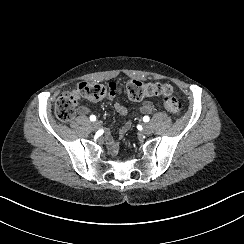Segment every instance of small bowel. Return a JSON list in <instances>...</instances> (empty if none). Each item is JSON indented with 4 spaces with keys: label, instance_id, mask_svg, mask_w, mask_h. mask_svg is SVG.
Listing matches in <instances>:
<instances>
[{
    "label": "small bowel",
    "instance_id": "c3829d8e",
    "mask_svg": "<svg viewBox=\"0 0 244 244\" xmlns=\"http://www.w3.org/2000/svg\"><path fill=\"white\" fill-rule=\"evenodd\" d=\"M111 88H112L111 100H113L114 96L119 94L121 92V90L116 85H111ZM77 100L75 101L76 103H77ZM114 107H115L116 111L120 115L125 116V115L128 114V109H127V107L125 105H123V104H121L119 102H115L114 103ZM153 109H154V104L151 101H145L140 107V112L143 113V114H146V113H150ZM88 112H89V109L86 106L81 105V106L78 107L79 115L85 116V115L88 114ZM130 128H131V123L130 122H127L125 125H123L120 128V130H119V133H118L119 137L124 136L130 130Z\"/></svg>",
    "mask_w": 244,
    "mask_h": 244
}]
</instances>
